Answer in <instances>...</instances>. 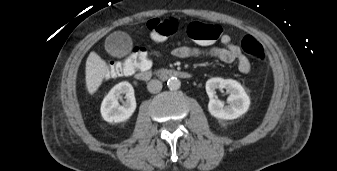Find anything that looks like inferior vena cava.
<instances>
[{
  "label": "inferior vena cava",
  "mask_w": 337,
  "mask_h": 171,
  "mask_svg": "<svg viewBox=\"0 0 337 171\" xmlns=\"http://www.w3.org/2000/svg\"><path fill=\"white\" fill-rule=\"evenodd\" d=\"M150 93H158L162 89V83L159 80L153 79L147 85Z\"/></svg>",
  "instance_id": "1"
}]
</instances>
